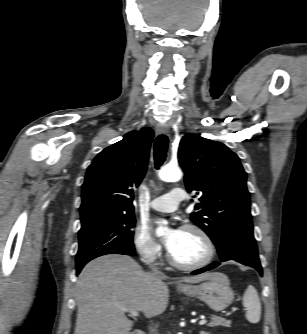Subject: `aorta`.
Returning a JSON list of instances; mask_svg holds the SVG:
<instances>
[{
  "label": "aorta",
  "mask_w": 307,
  "mask_h": 334,
  "mask_svg": "<svg viewBox=\"0 0 307 334\" xmlns=\"http://www.w3.org/2000/svg\"><path fill=\"white\" fill-rule=\"evenodd\" d=\"M182 177V172L178 167L165 166L159 172V178L165 182H176ZM156 229L157 236H162L167 231V221H159Z\"/></svg>",
  "instance_id": "1"
}]
</instances>
